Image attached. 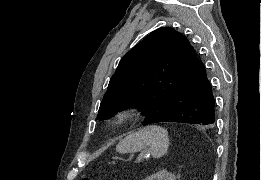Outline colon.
<instances>
[{"label":"colon","mask_w":261,"mask_h":180,"mask_svg":"<svg viewBox=\"0 0 261 180\" xmlns=\"http://www.w3.org/2000/svg\"><path fill=\"white\" fill-rule=\"evenodd\" d=\"M84 179H85V180H88L89 178H88V177H85Z\"/></svg>","instance_id":"obj_1"}]
</instances>
